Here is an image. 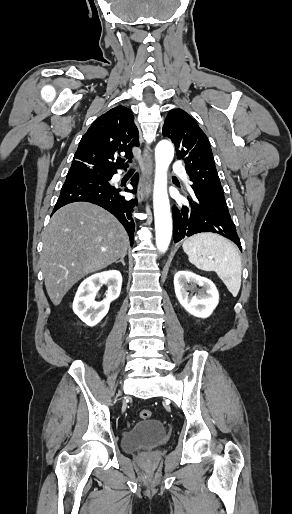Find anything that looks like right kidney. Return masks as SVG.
Segmentation results:
<instances>
[{
    "instance_id": "ca27d5eb",
    "label": "right kidney",
    "mask_w": 292,
    "mask_h": 514,
    "mask_svg": "<svg viewBox=\"0 0 292 514\" xmlns=\"http://www.w3.org/2000/svg\"><path fill=\"white\" fill-rule=\"evenodd\" d=\"M103 284H108L106 298L102 302H95L96 292ZM122 276L118 270H109L101 274H93L80 284L73 302V312L87 326H96L106 316L113 300L121 292Z\"/></svg>"
}]
</instances>
